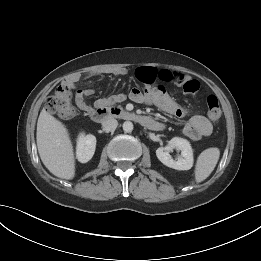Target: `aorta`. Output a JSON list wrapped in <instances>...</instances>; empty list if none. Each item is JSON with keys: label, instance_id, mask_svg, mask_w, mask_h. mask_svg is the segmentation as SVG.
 Instances as JSON below:
<instances>
[{"label": "aorta", "instance_id": "obj_1", "mask_svg": "<svg viewBox=\"0 0 261 261\" xmlns=\"http://www.w3.org/2000/svg\"><path fill=\"white\" fill-rule=\"evenodd\" d=\"M122 127L124 132L126 133H130L133 131V123L131 121H125Z\"/></svg>", "mask_w": 261, "mask_h": 261}]
</instances>
